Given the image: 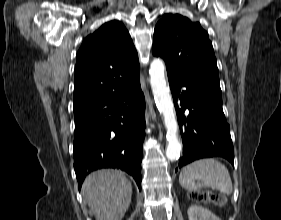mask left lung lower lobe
I'll list each match as a JSON object with an SVG mask.
<instances>
[{
  "label": "left lung lower lobe",
  "instance_id": "0a47b994",
  "mask_svg": "<svg viewBox=\"0 0 281 220\" xmlns=\"http://www.w3.org/2000/svg\"><path fill=\"white\" fill-rule=\"evenodd\" d=\"M183 141L178 168L207 157L220 156L234 164V148L222 109V96L198 81L168 75ZM186 87L180 93V88ZM181 99V109L175 99ZM188 109L186 118L183 112ZM176 169V171L178 170Z\"/></svg>",
  "mask_w": 281,
  "mask_h": 220
}]
</instances>
